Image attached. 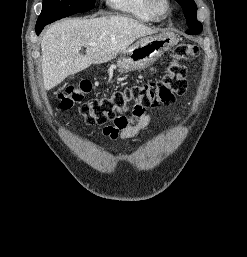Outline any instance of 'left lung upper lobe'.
<instances>
[{
  "instance_id": "left-lung-upper-lobe-1",
  "label": "left lung upper lobe",
  "mask_w": 247,
  "mask_h": 257,
  "mask_svg": "<svg viewBox=\"0 0 247 257\" xmlns=\"http://www.w3.org/2000/svg\"><path fill=\"white\" fill-rule=\"evenodd\" d=\"M183 9L186 23L189 29L186 33L190 35L199 34L202 31V24L197 20V5L194 0H176Z\"/></svg>"
}]
</instances>
